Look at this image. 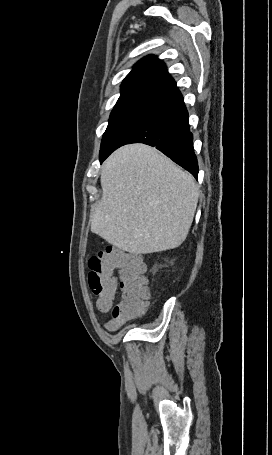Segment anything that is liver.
I'll use <instances>...</instances> for the list:
<instances>
[{
    "instance_id": "obj_1",
    "label": "liver",
    "mask_w": 272,
    "mask_h": 455,
    "mask_svg": "<svg viewBox=\"0 0 272 455\" xmlns=\"http://www.w3.org/2000/svg\"><path fill=\"white\" fill-rule=\"evenodd\" d=\"M102 198L91 231L133 254L170 250L186 239L197 208L194 178L156 149L132 144L101 169Z\"/></svg>"
}]
</instances>
